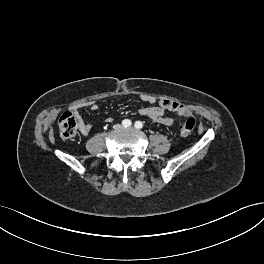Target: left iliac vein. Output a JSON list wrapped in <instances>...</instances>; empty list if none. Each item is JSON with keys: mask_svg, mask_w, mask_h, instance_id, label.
<instances>
[{"mask_svg": "<svg viewBox=\"0 0 264 264\" xmlns=\"http://www.w3.org/2000/svg\"><path fill=\"white\" fill-rule=\"evenodd\" d=\"M128 129H132V127H128Z\"/></svg>", "mask_w": 264, "mask_h": 264, "instance_id": "4c4485c4", "label": "left iliac vein"}]
</instances>
